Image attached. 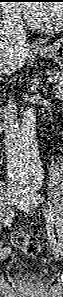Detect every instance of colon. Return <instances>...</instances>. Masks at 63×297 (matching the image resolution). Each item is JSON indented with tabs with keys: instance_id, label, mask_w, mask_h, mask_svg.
I'll return each mask as SVG.
<instances>
[{
	"instance_id": "obj_1",
	"label": "colon",
	"mask_w": 63,
	"mask_h": 297,
	"mask_svg": "<svg viewBox=\"0 0 63 297\" xmlns=\"http://www.w3.org/2000/svg\"><path fill=\"white\" fill-rule=\"evenodd\" d=\"M13 244L29 256H36L40 250L38 241L25 232H17L12 237Z\"/></svg>"
}]
</instances>
